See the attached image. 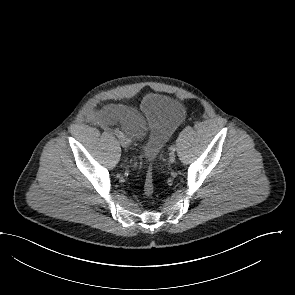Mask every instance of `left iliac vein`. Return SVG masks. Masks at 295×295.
I'll list each match as a JSON object with an SVG mask.
<instances>
[{"mask_svg": "<svg viewBox=\"0 0 295 295\" xmlns=\"http://www.w3.org/2000/svg\"><path fill=\"white\" fill-rule=\"evenodd\" d=\"M175 159H176V154H175L174 151H171L170 154H169V162L174 163Z\"/></svg>", "mask_w": 295, "mask_h": 295, "instance_id": "4c4485c4", "label": "left iliac vein"}]
</instances>
